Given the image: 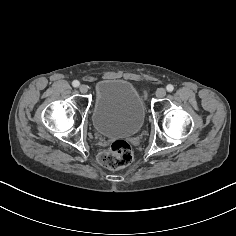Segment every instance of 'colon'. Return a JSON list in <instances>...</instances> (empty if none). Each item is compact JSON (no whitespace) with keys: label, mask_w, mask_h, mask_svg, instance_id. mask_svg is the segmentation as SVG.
Instances as JSON below:
<instances>
[{"label":"colon","mask_w":236,"mask_h":236,"mask_svg":"<svg viewBox=\"0 0 236 236\" xmlns=\"http://www.w3.org/2000/svg\"><path fill=\"white\" fill-rule=\"evenodd\" d=\"M133 154L130 145L123 140L114 141L110 148L98 155V162L110 169H121L129 165Z\"/></svg>","instance_id":"5ec220e1"}]
</instances>
